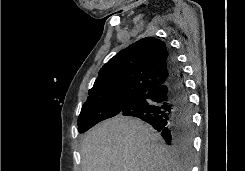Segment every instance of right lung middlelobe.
<instances>
[{"instance_id":"1","label":"right lung middle lobe","mask_w":245,"mask_h":171,"mask_svg":"<svg viewBox=\"0 0 245 171\" xmlns=\"http://www.w3.org/2000/svg\"><path fill=\"white\" fill-rule=\"evenodd\" d=\"M134 98L133 95H119L85 102L78 117V131L84 133L98 122L120 114L124 105Z\"/></svg>"}]
</instances>
